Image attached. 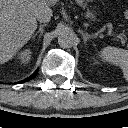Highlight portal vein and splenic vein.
Here are the masks:
<instances>
[{
    "label": "portal vein and splenic vein",
    "mask_w": 128,
    "mask_h": 128,
    "mask_svg": "<svg viewBox=\"0 0 128 128\" xmlns=\"http://www.w3.org/2000/svg\"><path fill=\"white\" fill-rule=\"evenodd\" d=\"M118 38L121 40L122 44H125L126 38L122 34H119Z\"/></svg>",
    "instance_id": "portal-vein-and-splenic-vein-1"
}]
</instances>
